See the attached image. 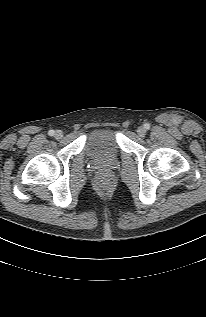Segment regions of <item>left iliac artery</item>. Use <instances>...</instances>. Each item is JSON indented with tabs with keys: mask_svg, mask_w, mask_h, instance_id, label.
I'll use <instances>...</instances> for the list:
<instances>
[{
	"mask_svg": "<svg viewBox=\"0 0 206 317\" xmlns=\"http://www.w3.org/2000/svg\"><path fill=\"white\" fill-rule=\"evenodd\" d=\"M144 127H145V129H150V124L149 123H146V124H144Z\"/></svg>",
	"mask_w": 206,
	"mask_h": 317,
	"instance_id": "1",
	"label": "left iliac artery"
}]
</instances>
